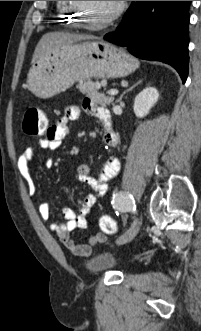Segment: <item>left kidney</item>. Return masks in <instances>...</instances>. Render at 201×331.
I'll use <instances>...</instances> for the list:
<instances>
[{"instance_id":"1","label":"left kidney","mask_w":201,"mask_h":331,"mask_svg":"<svg viewBox=\"0 0 201 331\" xmlns=\"http://www.w3.org/2000/svg\"><path fill=\"white\" fill-rule=\"evenodd\" d=\"M159 93L155 87H147L140 92L134 100V113L138 118L146 116L156 104Z\"/></svg>"}]
</instances>
